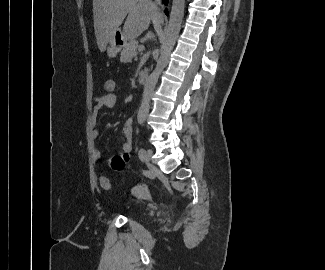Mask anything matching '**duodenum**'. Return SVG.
Wrapping results in <instances>:
<instances>
[{
	"label": "duodenum",
	"instance_id": "duodenum-1",
	"mask_svg": "<svg viewBox=\"0 0 325 270\" xmlns=\"http://www.w3.org/2000/svg\"><path fill=\"white\" fill-rule=\"evenodd\" d=\"M148 76L147 75H140L139 77V84L142 85V86H145L147 83H148Z\"/></svg>",
	"mask_w": 325,
	"mask_h": 270
}]
</instances>
